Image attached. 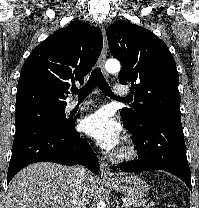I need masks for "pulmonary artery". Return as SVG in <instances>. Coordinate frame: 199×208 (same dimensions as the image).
Here are the masks:
<instances>
[{
    "label": "pulmonary artery",
    "instance_id": "1",
    "mask_svg": "<svg viewBox=\"0 0 199 208\" xmlns=\"http://www.w3.org/2000/svg\"><path fill=\"white\" fill-rule=\"evenodd\" d=\"M128 93H129L128 89L122 88V87H116L114 89L113 94L117 98H125L128 95ZM93 104H94V101H92V100H85L82 102L72 101L68 104L67 108H68V110H73L76 108H86V107L92 106Z\"/></svg>",
    "mask_w": 199,
    "mask_h": 208
}]
</instances>
